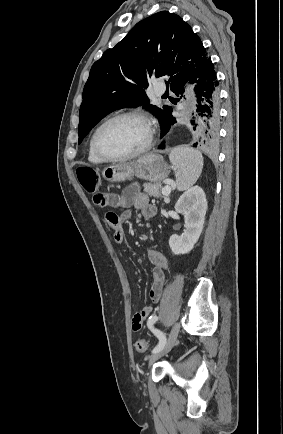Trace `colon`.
Here are the masks:
<instances>
[{
  "instance_id": "5ec220e1",
  "label": "colon",
  "mask_w": 283,
  "mask_h": 434,
  "mask_svg": "<svg viewBox=\"0 0 283 434\" xmlns=\"http://www.w3.org/2000/svg\"><path fill=\"white\" fill-rule=\"evenodd\" d=\"M77 178L87 192L93 193L97 190L99 179L98 173L94 169L88 167L79 168L77 170ZM147 348L148 344L146 339L141 338L136 341L135 349L138 352H145Z\"/></svg>"
}]
</instances>
